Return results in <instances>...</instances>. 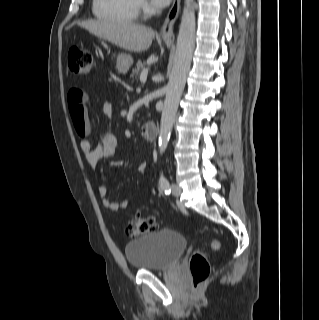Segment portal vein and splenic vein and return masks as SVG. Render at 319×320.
Masks as SVG:
<instances>
[{"mask_svg": "<svg viewBox=\"0 0 319 320\" xmlns=\"http://www.w3.org/2000/svg\"><path fill=\"white\" fill-rule=\"evenodd\" d=\"M148 69H144L142 72H141V75H140V81L142 83H145L146 80H147V75H148Z\"/></svg>", "mask_w": 319, "mask_h": 320, "instance_id": "18ae733b", "label": "portal vein and splenic vein"}]
</instances>
